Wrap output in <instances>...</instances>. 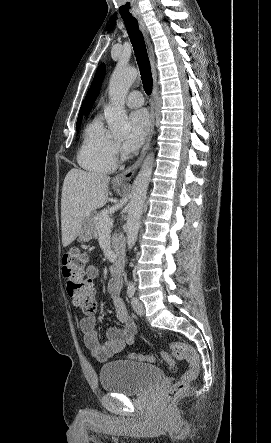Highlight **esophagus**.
Returning a JSON list of instances; mask_svg holds the SVG:
<instances>
[{"label":"esophagus","mask_w":271,"mask_h":443,"mask_svg":"<svg viewBox=\"0 0 271 443\" xmlns=\"http://www.w3.org/2000/svg\"><path fill=\"white\" fill-rule=\"evenodd\" d=\"M136 20L139 23V28L142 31L145 40L147 42L148 48H149V57H150V63H151V69H152V77L154 81V87L152 91V97L150 100V120H149V129H148V137L145 141L144 147L141 150V153L137 160L131 165L129 168L124 170V172L119 173V175H116V177L113 178L112 182L119 184L121 186L127 185L128 182L134 177V175L137 173L143 158L145 157L153 136V130H154V123H155V98L157 94V70L155 65V58L152 53V48L149 41V31L145 24V21L143 19V15H135Z\"/></svg>","instance_id":"34e87169"}]
</instances>
